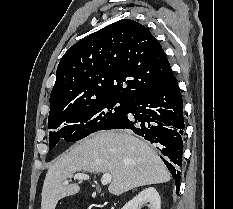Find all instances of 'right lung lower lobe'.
Returning a JSON list of instances; mask_svg holds the SVG:
<instances>
[{"instance_id": "1", "label": "right lung lower lobe", "mask_w": 233, "mask_h": 209, "mask_svg": "<svg viewBox=\"0 0 233 209\" xmlns=\"http://www.w3.org/2000/svg\"><path fill=\"white\" fill-rule=\"evenodd\" d=\"M184 127L183 100L171 70L156 86L133 95L123 119L107 129H130L153 143L164 156L178 194Z\"/></svg>"}]
</instances>
